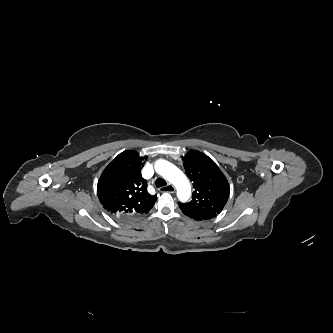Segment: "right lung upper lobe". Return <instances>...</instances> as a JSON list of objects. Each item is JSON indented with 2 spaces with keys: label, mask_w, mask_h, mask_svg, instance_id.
Returning <instances> with one entry per match:
<instances>
[{
  "label": "right lung upper lobe",
  "mask_w": 333,
  "mask_h": 333,
  "mask_svg": "<svg viewBox=\"0 0 333 333\" xmlns=\"http://www.w3.org/2000/svg\"><path fill=\"white\" fill-rule=\"evenodd\" d=\"M144 159L136 151H124L101 174L97 194L109 214L138 216L153 207L157 197L147 192L146 180L141 176Z\"/></svg>",
  "instance_id": "1"
}]
</instances>
